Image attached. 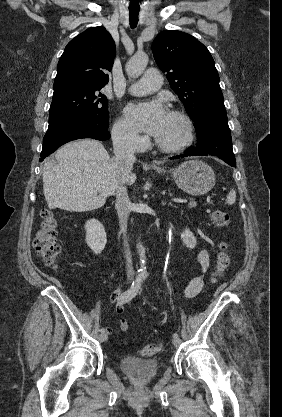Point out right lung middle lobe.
I'll return each mask as SVG.
<instances>
[{
    "label": "right lung middle lobe",
    "instance_id": "obj_1",
    "mask_svg": "<svg viewBox=\"0 0 282 417\" xmlns=\"http://www.w3.org/2000/svg\"><path fill=\"white\" fill-rule=\"evenodd\" d=\"M101 88H75L54 92L50 106L49 123L71 115H85L108 122V101Z\"/></svg>",
    "mask_w": 282,
    "mask_h": 417
}]
</instances>
